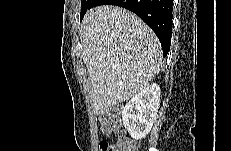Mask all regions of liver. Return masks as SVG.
<instances>
[{
  "label": "liver",
  "instance_id": "1",
  "mask_svg": "<svg viewBox=\"0 0 231 151\" xmlns=\"http://www.w3.org/2000/svg\"><path fill=\"white\" fill-rule=\"evenodd\" d=\"M80 39L97 114L140 93L161 71L157 36L124 8L103 5L87 11Z\"/></svg>",
  "mask_w": 231,
  "mask_h": 151
}]
</instances>
